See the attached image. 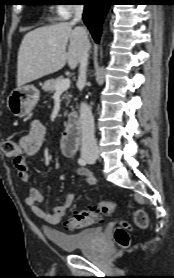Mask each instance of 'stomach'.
<instances>
[{
    "label": "stomach",
    "instance_id": "0dacf381",
    "mask_svg": "<svg viewBox=\"0 0 174 278\" xmlns=\"http://www.w3.org/2000/svg\"><path fill=\"white\" fill-rule=\"evenodd\" d=\"M39 90L34 85L17 87L7 97V108L12 115L24 117L37 105Z\"/></svg>",
    "mask_w": 174,
    "mask_h": 278
}]
</instances>
